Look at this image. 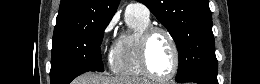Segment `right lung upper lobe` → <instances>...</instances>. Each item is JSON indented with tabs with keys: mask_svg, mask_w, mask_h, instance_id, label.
Masks as SVG:
<instances>
[{
	"mask_svg": "<svg viewBox=\"0 0 260 84\" xmlns=\"http://www.w3.org/2000/svg\"><path fill=\"white\" fill-rule=\"evenodd\" d=\"M119 0H61L54 35L75 31L88 23L111 20Z\"/></svg>",
	"mask_w": 260,
	"mask_h": 84,
	"instance_id": "obj_1",
	"label": "right lung upper lobe"
}]
</instances>
